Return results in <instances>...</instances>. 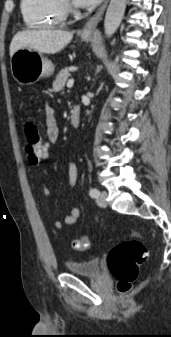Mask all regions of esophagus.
Instances as JSON below:
<instances>
[{"label": "esophagus", "instance_id": "34e87169", "mask_svg": "<svg viewBox=\"0 0 171 337\" xmlns=\"http://www.w3.org/2000/svg\"><path fill=\"white\" fill-rule=\"evenodd\" d=\"M107 5H108V0H105L103 5L98 9V11L88 20V22L83 27L82 32H81L82 35L89 36L95 32L96 27L98 23L100 22V20L102 19V16L104 14V11Z\"/></svg>", "mask_w": 171, "mask_h": 337}]
</instances>
